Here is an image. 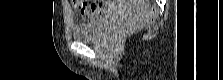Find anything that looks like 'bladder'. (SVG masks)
Listing matches in <instances>:
<instances>
[{"label":"bladder","instance_id":"obj_1","mask_svg":"<svg viewBox=\"0 0 223 80\" xmlns=\"http://www.w3.org/2000/svg\"><path fill=\"white\" fill-rule=\"evenodd\" d=\"M113 10V9H112ZM113 14V11L106 12L99 20L82 23L73 26L72 36L77 41H97L103 32L105 21Z\"/></svg>","mask_w":223,"mask_h":80}]
</instances>
